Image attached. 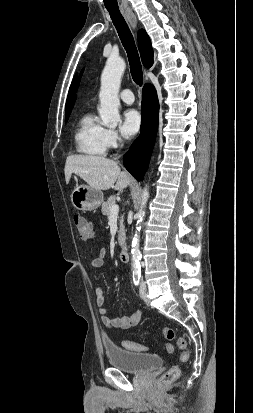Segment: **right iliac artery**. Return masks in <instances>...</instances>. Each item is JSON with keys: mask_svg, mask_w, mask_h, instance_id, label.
<instances>
[{"mask_svg": "<svg viewBox=\"0 0 253 413\" xmlns=\"http://www.w3.org/2000/svg\"><path fill=\"white\" fill-rule=\"evenodd\" d=\"M140 279H141L140 273H133V282L136 286L139 285Z\"/></svg>", "mask_w": 253, "mask_h": 413, "instance_id": "82829eb1", "label": "right iliac artery"}]
</instances>
